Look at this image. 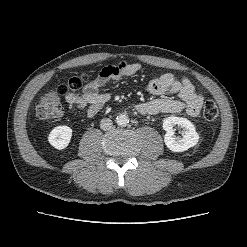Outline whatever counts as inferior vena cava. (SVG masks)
Segmentation results:
<instances>
[{"label": "inferior vena cava", "instance_id": "inferior-vena-cava-1", "mask_svg": "<svg viewBox=\"0 0 247 247\" xmlns=\"http://www.w3.org/2000/svg\"><path fill=\"white\" fill-rule=\"evenodd\" d=\"M112 125V120L109 118H104L100 121V128L104 131L111 129Z\"/></svg>", "mask_w": 247, "mask_h": 247}]
</instances>
